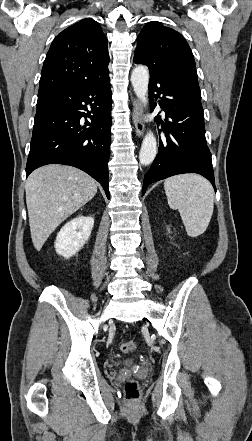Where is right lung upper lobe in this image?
I'll list each match as a JSON object with an SVG mask.
<instances>
[{
  "label": "right lung upper lobe",
  "mask_w": 252,
  "mask_h": 441,
  "mask_svg": "<svg viewBox=\"0 0 252 441\" xmlns=\"http://www.w3.org/2000/svg\"><path fill=\"white\" fill-rule=\"evenodd\" d=\"M107 38L91 18L66 28L53 40L41 72L38 97L79 85L109 82Z\"/></svg>",
  "instance_id": "obj_1"
}]
</instances>
